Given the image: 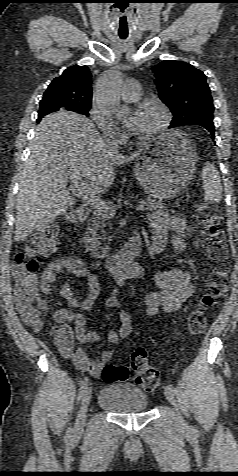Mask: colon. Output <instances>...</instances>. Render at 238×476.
I'll return each mask as SVG.
<instances>
[{
	"mask_svg": "<svg viewBox=\"0 0 238 476\" xmlns=\"http://www.w3.org/2000/svg\"><path fill=\"white\" fill-rule=\"evenodd\" d=\"M197 220L201 227L202 246L213 262V268L206 294L188 317L187 327L192 334H200L205 330L206 309L228 290V250L222 217L209 206L202 205L197 211ZM57 235L56 226L42 227L32 237L26 250L16 255L12 264L16 306L23 319L36 328L40 326L42 311L36 272L40 265L59 249ZM130 361L131 369L135 373V383L148 392L154 391L159 385V374L149 363L146 351L143 348L133 349ZM102 378L109 383L126 381L129 378V369L126 366L109 364L103 368Z\"/></svg>",
	"mask_w": 238,
	"mask_h": 476,
	"instance_id": "1",
	"label": "colon"
}]
</instances>
